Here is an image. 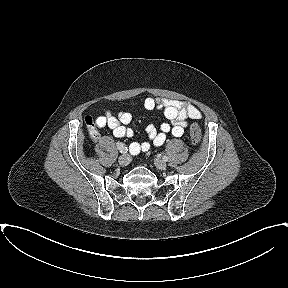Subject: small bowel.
<instances>
[{"label":"small bowel","instance_id":"obj_1","mask_svg":"<svg viewBox=\"0 0 288 288\" xmlns=\"http://www.w3.org/2000/svg\"><path fill=\"white\" fill-rule=\"evenodd\" d=\"M147 110H162L170 123H162L157 129L153 125L146 128L149 141L133 142L130 144V152L134 155L140 152H147L151 146L160 147L166 141L167 135L181 137L187 127V119L201 118V112L189 102L170 100L166 98L148 97L144 101ZM132 116L129 112H121L117 116L112 111L106 110L103 115L96 118V125L99 128L108 127L116 137H131L132 129L127 127Z\"/></svg>","mask_w":288,"mask_h":288}]
</instances>
